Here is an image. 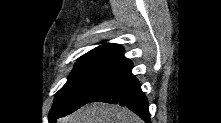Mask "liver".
<instances>
[{"instance_id":"obj_1","label":"liver","mask_w":221,"mask_h":123,"mask_svg":"<svg viewBox=\"0 0 221 123\" xmlns=\"http://www.w3.org/2000/svg\"><path fill=\"white\" fill-rule=\"evenodd\" d=\"M58 123H143L127 108L105 103L86 105L71 115L57 120Z\"/></svg>"}]
</instances>
